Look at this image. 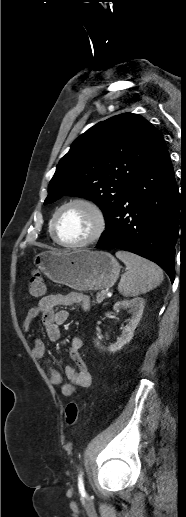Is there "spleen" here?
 <instances>
[{
    "label": "spleen",
    "mask_w": 186,
    "mask_h": 517,
    "mask_svg": "<svg viewBox=\"0 0 186 517\" xmlns=\"http://www.w3.org/2000/svg\"><path fill=\"white\" fill-rule=\"evenodd\" d=\"M127 267L121 277L118 290L124 297L145 294L157 287L164 279L163 271L151 261L126 251L116 252Z\"/></svg>",
    "instance_id": "obj_1"
}]
</instances>
